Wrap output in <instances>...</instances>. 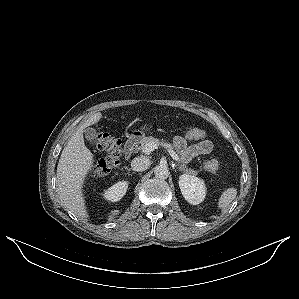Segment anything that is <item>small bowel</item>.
Wrapping results in <instances>:
<instances>
[{
    "mask_svg": "<svg viewBox=\"0 0 299 299\" xmlns=\"http://www.w3.org/2000/svg\"><path fill=\"white\" fill-rule=\"evenodd\" d=\"M173 144L184 162H189L197 156L207 155L213 150V143L210 140H201L195 144L188 145L182 136H176Z\"/></svg>",
    "mask_w": 299,
    "mask_h": 299,
    "instance_id": "obj_1",
    "label": "small bowel"
}]
</instances>
